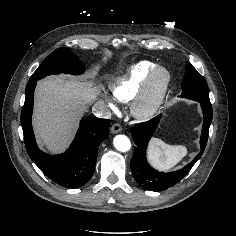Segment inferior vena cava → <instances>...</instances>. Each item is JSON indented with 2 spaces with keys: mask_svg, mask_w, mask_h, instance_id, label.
<instances>
[{
  "mask_svg": "<svg viewBox=\"0 0 236 236\" xmlns=\"http://www.w3.org/2000/svg\"><path fill=\"white\" fill-rule=\"evenodd\" d=\"M92 113L99 118H110L111 112L103 101L96 102L92 107Z\"/></svg>",
  "mask_w": 236,
  "mask_h": 236,
  "instance_id": "1",
  "label": "inferior vena cava"
}]
</instances>
